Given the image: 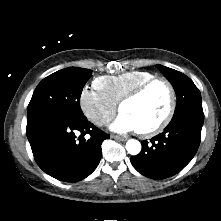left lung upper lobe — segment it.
I'll use <instances>...</instances> for the list:
<instances>
[{"mask_svg": "<svg viewBox=\"0 0 221 221\" xmlns=\"http://www.w3.org/2000/svg\"><path fill=\"white\" fill-rule=\"evenodd\" d=\"M159 70L173 85L177 94V105L174 115L185 110L202 109V100L199 89L185 74L174 69L157 65Z\"/></svg>", "mask_w": 221, "mask_h": 221, "instance_id": "left-lung-upper-lobe-1", "label": "left lung upper lobe"}]
</instances>
